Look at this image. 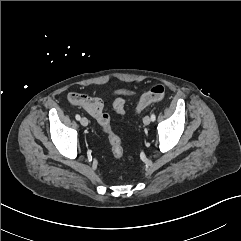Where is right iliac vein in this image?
<instances>
[{
  "label": "right iliac vein",
  "mask_w": 241,
  "mask_h": 241,
  "mask_svg": "<svg viewBox=\"0 0 241 241\" xmlns=\"http://www.w3.org/2000/svg\"><path fill=\"white\" fill-rule=\"evenodd\" d=\"M80 123H81L82 126H87L89 122H88V119L86 117H82L80 119Z\"/></svg>",
  "instance_id": "right-iliac-vein-1"
}]
</instances>
